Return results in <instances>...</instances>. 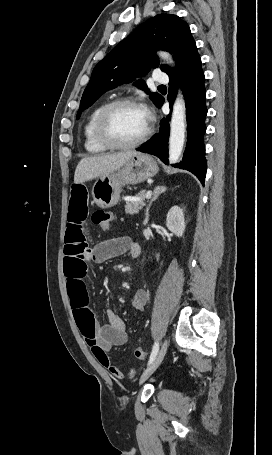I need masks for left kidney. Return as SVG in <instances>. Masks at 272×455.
Returning <instances> with one entry per match:
<instances>
[{"label":"left kidney","mask_w":272,"mask_h":455,"mask_svg":"<svg viewBox=\"0 0 272 455\" xmlns=\"http://www.w3.org/2000/svg\"><path fill=\"white\" fill-rule=\"evenodd\" d=\"M167 228L176 236L181 237L185 231V220L183 210L178 206H173L166 218Z\"/></svg>","instance_id":"1"}]
</instances>
